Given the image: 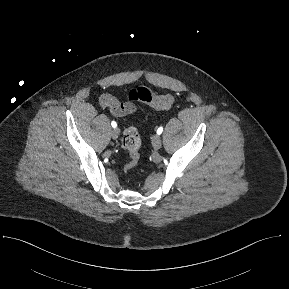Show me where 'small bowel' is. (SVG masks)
<instances>
[{"label": "small bowel", "instance_id": "small-bowel-1", "mask_svg": "<svg viewBox=\"0 0 289 289\" xmlns=\"http://www.w3.org/2000/svg\"><path fill=\"white\" fill-rule=\"evenodd\" d=\"M99 105L107 108L116 117L121 118L136 112L137 108L133 101L121 102L109 93L102 94L99 98Z\"/></svg>", "mask_w": 289, "mask_h": 289}]
</instances>
